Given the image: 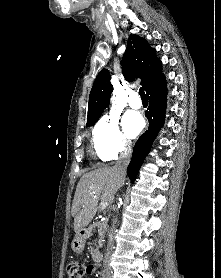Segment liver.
<instances>
[{
  "label": "liver",
  "instance_id": "1",
  "mask_svg": "<svg viewBox=\"0 0 221 278\" xmlns=\"http://www.w3.org/2000/svg\"><path fill=\"white\" fill-rule=\"evenodd\" d=\"M114 167L104 166L84 174L77 184L71 213L74 231L79 233L94 217L98 202L112 203L115 194L124 184Z\"/></svg>",
  "mask_w": 221,
  "mask_h": 278
}]
</instances>
